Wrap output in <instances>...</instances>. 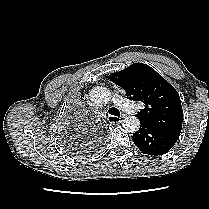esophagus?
Masks as SVG:
<instances>
[{
	"label": "esophagus",
	"mask_w": 209,
	"mask_h": 209,
	"mask_svg": "<svg viewBox=\"0 0 209 209\" xmlns=\"http://www.w3.org/2000/svg\"><path fill=\"white\" fill-rule=\"evenodd\" d=\"M125 118V116H120V117H117V116H109L108 117V121L110 123H120L123 121V119Z\"/></svg>",
	"instance_id": "34e87169"
}]
</instances>
